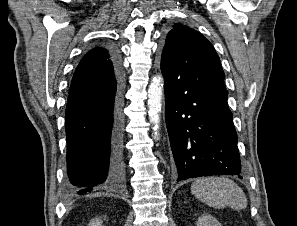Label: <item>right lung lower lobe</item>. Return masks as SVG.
<instances>
[{
	"mask_svg": "<svg viewBox=\"0 0 297 226\" xmlns=\"http://www.w3.org/2000/svg\"><path fill=\"white\" fill-rule=\"evenodd\" d=\"M122 75L115 81L68 96L66 107L67 176L70 194L123 182Z\"/></svg>",
	"mask_w": 297,
	"mask_h": 226,
	"instance_id": "1",
	"label": "right lung lower lobe"
}]
</instances>
